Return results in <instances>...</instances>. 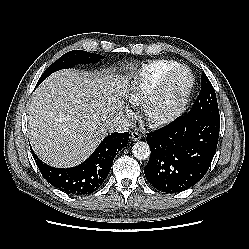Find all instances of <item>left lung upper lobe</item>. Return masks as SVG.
Listing matches in <instances>:
<instances>
[{
    "instance_id": "1",
    "label": "left lung upper lobe",
    "mask_w": 249,
    "mask_h": 249,
    "mask_svg": "<svg viewBox=\"0 0 249 249\" xmlns=\"http://www.w3.org/2000/svg\"><path fill=\"white\" fill-rule=\"evenodd\" d=\"M187 115H204L219 118L215 90L205 73H202L201 76V91Z\"/></svg>"
}]
</instances>
